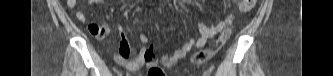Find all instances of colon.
<instances>
[{"label":"colon","instance_id":"5ec220e1","mask_svg":"<svg viewBox=\"0 0 333 76\" xmlns=\"http://www.w3.org/2000/svg\"><path fill=\"white\" fill-rule=\"evenodd\" d=\"M255 3H256V0L239 1V3H238L239 9L241 11H249L254 7ZM230 34H231L230 30H228V29L224 30L216 41V47L217 48L222 47L228 41ZM214 53H215V51L211 50V49L204 50V51L196 53L192 57V60L196 64H202V63H205L206 61L210 60L213 57Z\"/></svg>","mask_w":333,"mask_h":76}]
</instances>
